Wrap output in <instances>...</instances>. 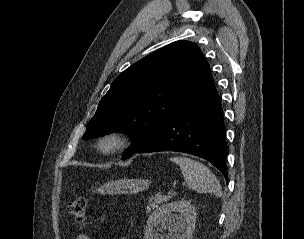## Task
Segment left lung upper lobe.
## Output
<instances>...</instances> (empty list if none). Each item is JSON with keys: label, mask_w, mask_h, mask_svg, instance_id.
Masks as SVG:
<instances>
[{"label": "left lung upper lobe", "mask_w": 304, "mask_h": 239, "mask_svg": "<svg viewBox=\"0 0 304 239\" xmlns=\"http://www.w3.org/2000/svg\"><path fill=\"white\" fill-rule=\"evenodd\" d=\"M210 78L209 64L198 46L173 42L134 63L113 81L83 139L125 131L133 147L124 157L145 145Z\"/></svg>", "instance_id": "obj_1"}]
</instances>
